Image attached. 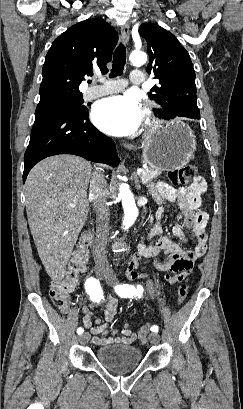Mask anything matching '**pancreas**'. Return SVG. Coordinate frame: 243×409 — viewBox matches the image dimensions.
<instances>
[{
    "instance_id": "pancreas-1",
    "label": "pancreas",
    "mask_w": 243,
    "mask_h": 409,
    "mask_svg": "<svg viewBox=\"0 0 243 409\" xmlns=\"http://www.w3.org/2000/svg\"><path fill=\"white\" fill-rule=\"evenodd\" d=\"M161 174V171L147 167L143 169V173L140 175V178L144 184H147L152 179L156 178Z\"/></svg>"
}]
</instances>
